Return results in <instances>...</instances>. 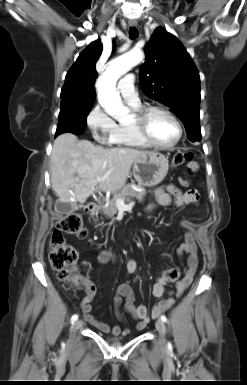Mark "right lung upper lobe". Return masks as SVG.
Masks as SVG:
<instances>
[{
    "label": "right lung upper lobe",
    "instance_id": "obj_1",
    "mask_svg": "<svg viewBox=\"0 0 247 385\" xmlns=\"http://www.w3.org/2000/svg\"><path fill=\"white\" fill-rule=\"evenodd\" d=\"M102 44L96 40L84 49L69 69L61 91L62 101L94 103L96 93L93 84L97 78L96 62L102 53Z\"/></svg>",
    "mask_w": 247,
    "mask_h": 385
}]
</instances>
